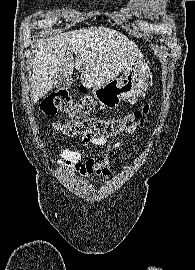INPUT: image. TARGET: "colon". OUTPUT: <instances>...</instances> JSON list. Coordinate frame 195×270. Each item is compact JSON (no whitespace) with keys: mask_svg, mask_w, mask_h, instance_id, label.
<instances>
[{"mask_svg":"<svg viewBox=\"0 0 195 270\" xmlns=\"http://www.w3.org/2000/svg\"><path fill=\"white\" fill-rule=\"evenodd\" d=\"M95 102L91 95L84 94L79 101H74L65 89H59L48 94L41 102L40 110L43 114L52 116L57 112H66L70 119H63L54 124L57 131L68 136L85 135L109 137L123 131L128 125L140 119L148 110L143 105L121 117L102 119L92 117Z\"/></svg>","mask_w":195,"mask_h":270,"instance_id":"1","label":"colon"}]
</instances>
